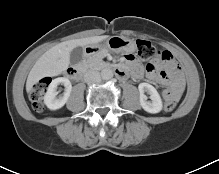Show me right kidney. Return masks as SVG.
<instances>
[{
    "label": "right kidney",
    "instance_id": "ca27d5eb",
    "mask_svg": "<svg viewBox=\"0 0 219 174\" xmlns=\"http://www.w3.org/2000/svg\"><path fill=\"white\" fill-rule=\"evenodd\" d=\"M62 84L65 87L63 95L57 97V86ZM72 91V85L69 79L64 77H59L52 80L49 85L47 92L44 96V103L50 110H57L62 108L67 102L70 93Z\"/></svg>",
    "mask_w": 219,
    "mask_h": 174
}]
</instances>
